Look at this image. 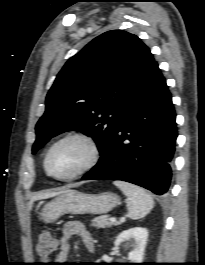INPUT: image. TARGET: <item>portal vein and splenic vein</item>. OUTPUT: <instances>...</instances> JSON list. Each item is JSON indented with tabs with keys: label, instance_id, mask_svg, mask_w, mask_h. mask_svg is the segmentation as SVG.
I'll use <instances>...</instances> for the list:
<instances>
[{
	"label": "portal vein and splenic vein",
	"instance_id": "obj_1",
	"mask_svg": "<svg viewBox=\"0 0 205 265\" xmlns=\"http://www.w3.org/2000/svg\"><path fill=\"white\" fill-rule=\"evenodd\" d=\"M109 220H110V222H116V218H114V217H111Z\"/></svg>",
	"mask_w": 205,
	"mask_h": 265
}]
</instances>
